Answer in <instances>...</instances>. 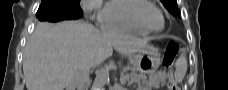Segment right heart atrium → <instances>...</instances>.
<instances>
[{"label":"right heart atrium","instance_id":"d8ad5b80","mask_svg":"<svg viewBox=\"0 0 228 90\" xmlns=\"http://www.w3.org/2000/svg\"><path fill=\"white\" fill-rule=\"evenodd\" d=\"M81 5L90 19L103 23L104 8L101 0H83Z\"/></svg>","mask_w":228,"mask_h":90}]
</instances>
